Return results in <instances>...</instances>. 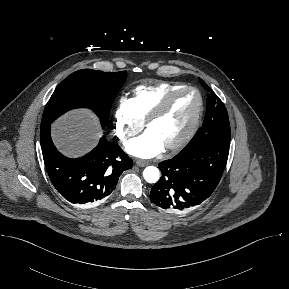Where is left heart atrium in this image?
<instances>
[{"label":"left heart atrium","mask_w":289,"mask_h":289,"mask_svg":"<svg viewBox=\"0 0 289 289\" xmlns=\"http://www.w3.org/2000/svg\"><path fill=\"white\" fill-rule=\"evenodd\" d=\"M163 148V144L149 130L126 144V149L130 154L141 158L156 156Z\"/></svg>","instance_id":"obj_1"}]
</instances>
